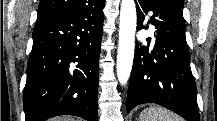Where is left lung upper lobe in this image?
Instances as JSON below:
<instances>
[{"mask_svg": "<svg viewBox=\"0 0 217 121\" xmlns=\"http://www.w3.org/2000/svg\"><path fill=\"white\" fill-rule=\"evenodd\" d=\"M166 5H168L177 15L183 18V0H162Z\"/></svg>", "mask_w": 217, "mask_h": 121, "instance_id": "5c2ea615", "label": "left lung upper lobe"}]
</instances>
